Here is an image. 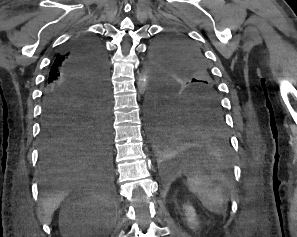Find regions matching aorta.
Listing matches in <instances>:
<instances>
[{
  "mask_svg": "<svg viewBox=\"0 0 297 237\" xmlns=\"http://www.w3.org/2000/svg\"><path fill=\"white\" fill-rule=\"evenodd\" d=\"M148 83V77L145 73L141 74L138 79V88L144 92Z\"/></svg>",
  "mask_w": 297,
  "mask_h": 237,
  "instance_id": "1",
  "label": "aorta"
}]
</instances>
